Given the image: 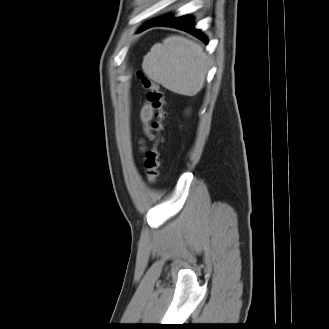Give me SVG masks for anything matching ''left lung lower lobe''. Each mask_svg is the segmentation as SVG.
<instances>
[{"mask_svg": "<svg viewBox=\"0 0 329 329\" xmlns=\"http://www.w3.org/2000/svg\"><path fill=\"white\" fill-rule=\"evenodd\" d=\"M153 26H167L181 29L197 36L206 44L208 43L207 39L201 34L200 30L194 28L193 20L186 16L173 17L172 15H166L153 20L152 22L142 27L139 31H143Z\"/></svg>", "mask_w": 329, "mask_h": 329, "instance_id": "1", "label": "left lung lower lobe"}]
</instances>
